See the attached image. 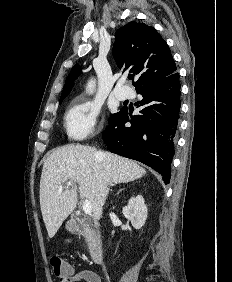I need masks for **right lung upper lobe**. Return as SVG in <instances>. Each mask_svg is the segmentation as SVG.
<instances>
[{
  "mask_svg": "<svg viewBox=\"0 0 232 282\" xmlns=\"http://www.w3.org/2000/svg\"><path fill=\"white\" fill-rule=\"evenodd\" d=\"M113 56L119 68L128 69L138 75L134 82L139 86L164 78L176 71L171 51L155 28L136 21H131L116 32ZM81 68L75 65L67 76L60 99L65 98L74 85V80L81 74Z\"/></svg>",
  "mask_w": 232,
  "mask_h": 282,
  "instance_id": "right-lung-upper-lobe-1",
  "label": "right lung upper lobe"
}]
</instances>
